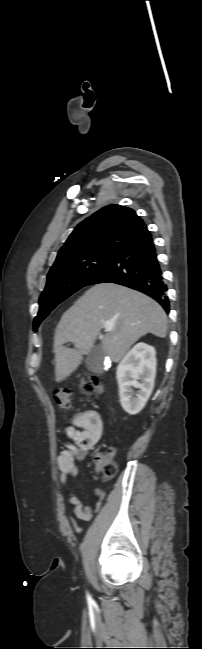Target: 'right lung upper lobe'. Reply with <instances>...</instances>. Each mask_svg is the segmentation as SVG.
Here are the masks:
<instances>
[{
    "label": "right lung upper lobe",
    "mask_w": 202,
    "mask_h": 649,
    "mask_svg": "<svg viewBox=\"0 0 202 649\" xmlns=\"http://www.w3.org/2000/svg\"><path fill=\"white\" fill-rule=\"evenodd\" d=\"M149 233L131 208L108 205L81 222L60 249L56 262L89 251L118 253Z\"/></svg>",
    "instance_id": "1"
}]
</instances>
